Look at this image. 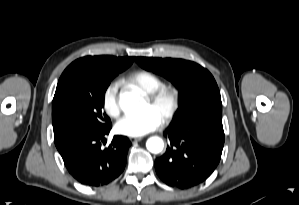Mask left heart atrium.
Instances as JSON below:
<instances>
[{"instance_id":"1","label":"left heart atrium","mask_w":299,"mask_h":205,"mask_svg":"<svg viewBox=\"0 0 299 205\" xmlns=\"http://www.w3.org/2000/svg\"><path fill=\"white\" fill-rule=\"evenodd\" d=\"M162 123L159 114L152 108L135 116H124L115 125V130L129 137H141L157 129Z\"/></svg>"}]
</instances>
